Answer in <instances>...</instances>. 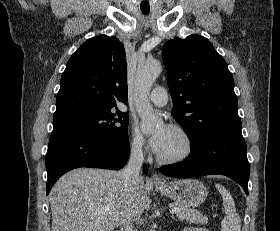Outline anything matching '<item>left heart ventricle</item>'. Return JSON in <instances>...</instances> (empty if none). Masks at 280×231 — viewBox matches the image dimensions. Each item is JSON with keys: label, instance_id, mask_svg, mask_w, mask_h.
<instances>
[{"label": "left heart ventricle", "instance_id": "b2bd125f", "mask_svg": "<svg viewBox=\"0 0 280 231\" xmlns=\"http://www.w3.org/2000/svg\"><path fill=\"white\" fill-rule=\"evenodd\" d=\"M185 145L182 140L173 130H172V135L170 138L169 143L167 144L166 148L164 151L160 154L165 157H170L173 156L177 153H180L183 151Z\"/></svg>", "mask_w": 280, "mask_h": 231}]
</instances>
